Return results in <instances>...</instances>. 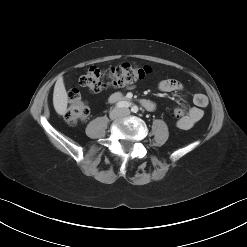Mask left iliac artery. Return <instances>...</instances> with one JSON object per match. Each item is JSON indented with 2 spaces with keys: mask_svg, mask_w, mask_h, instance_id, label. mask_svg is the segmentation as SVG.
I'll use <instances>...</instances> for the list:
<instances>
[{
  "mask_svg": "<svg viewBox=\"0 0 247 247\" xmlns=\"http://www.w3.org/2000/svg\"><path fill=\"white\" fill-rule=\"evenodd\" d=\"M131 111H132L133 113H137V112H138V107H137V106H133V107L131 108Z\"/></svg>",
  "mask_w": 247,
  "mask_h": 247,
  "instance_id": "left-iliac-artery-1",
  "label": "left iliac artery"
}]
</instances>
